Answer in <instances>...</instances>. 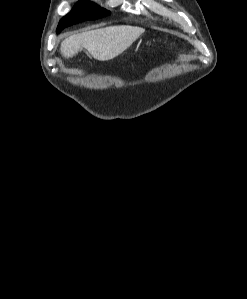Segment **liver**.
Segmentation results:
<instances>
[{"instance_id": "obj_1", "label": "liver", "mask_w": 247, "mask_h": 299, "mask_svg": "<svg viewBox=\"0 0 247 299\" xmlns=\"http://www.w3.org/2000/svg\"><path fill=\"white\" fill-rule=\"evenodd\" d=\"M145 30L141 27L118 25L74 34L60 46L63 57L76 56L84 48L96 60L114 59L129 48Z\"/></svg>"}]
</instances>
